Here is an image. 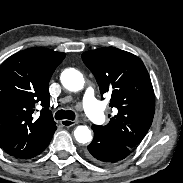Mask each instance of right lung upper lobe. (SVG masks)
Returning a JSON list of instances; mask_svg holds the SVG:
<instances>
[{"label":"right lung upper lobe","instance_id":"right-lung-upper-lobe-1","mask_svg":"<svg viewBox=\"0 0 183 183\" xmlns=\"http://www.w3.org/2000/svg\"><path fill=\"white\" fill-rule=\"evenodd\" d=\"M66 54L47 48L20 51L0 65V146L19 159L33 158L56 130L49 110L50 78ZM43 108L33 118L35 106Z\"/></svg>","mask_w":183,"mask_h":183}]
</instances>
